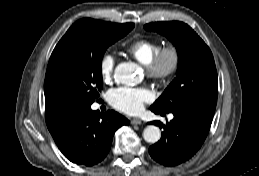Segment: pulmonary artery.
Returning a JSON list of instances; mask_svg holds the SVG:
<instances>
[{
  "instance_id": "obj_1",
  "label": "pulmonary artery",
  "mask_w": 259,
  "mask_h": 176,
  "mask_svg": "<svg viewBox=\"0 0 259 176\" xmlns=\"http://www.w3.org/2000/svg\"><path fill=\"white\" fill-rule=\"evenodd\" d=\"M169 119H173V115H169Z\"/></svg>"
}]
</instances>
